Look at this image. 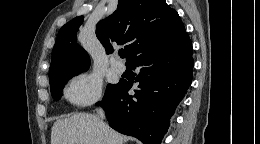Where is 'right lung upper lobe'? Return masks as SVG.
I'll use <instances>...</instances> for the list:
<instances>
[{
  "instance_id": "obj_1",
  "label": "right lung upper lobe",
  "mask_w": 260,
  "mask_h": 144,
  "mask_svg": "<svg viewBox=\"0 0 260 144\" xmlns=\"http://www.w3.org/2000/svg\"><path fill=\"white\" fill-rule=\"evenodd\" d=\"M84 17L65 24L52 51L49 76L70 69L89 67L88 53L77 43L76 34ZM186 34L178 13L165 0H119L117 10L97 24L96 36L107 54L112 45H124L126 59L181 39Z\"/></svg>"
}]
</instances>
